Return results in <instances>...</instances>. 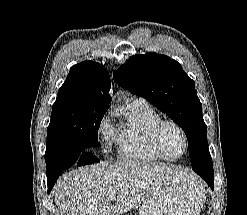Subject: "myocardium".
Returning <instances> with one entry per match:
<instances>
[{
  "mask_svg": "<svg viewBox=\"0 0 247 215\" xmlns=\"http://www.w3.org/2000/svg\"><path fill=\"white\" fill-rule=\"evenodd\" d=\"M168 126L177 129L183 138L184 149L179 156H170L163 149L162 134L164 129ZM150 140L155 153L160 158L168 161H176L183 158L186 155L189 148L188 136L185 129L179 123L173 120L161 119L156 124H154L150 130Z\"/></svg>",
  "mask_w": 247,
  "mask_h": 215,
  "instance_id": "1",
  "label": "myocardium"
}]
</instances>
